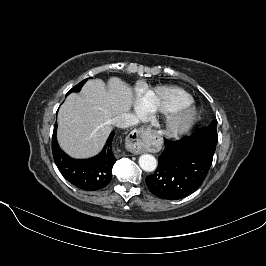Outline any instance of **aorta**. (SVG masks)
I'll use <instances>...</instances> for the list:
<instances>
[{"mask_svg":"<svg viewBox=\"0 0 266 266\" xmlns=\"http://www.w3.org/2000/svg\"><path fill=\"white\" fill-rule=\"evenodd\" d=\"M140 167L146 172H152L157 167V160L151 154H143L139 158Z\"/></svg>","mask_w":266,"mask_h":266,"instance_id":"1","label":"aorta"}]
</instances>
